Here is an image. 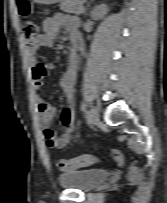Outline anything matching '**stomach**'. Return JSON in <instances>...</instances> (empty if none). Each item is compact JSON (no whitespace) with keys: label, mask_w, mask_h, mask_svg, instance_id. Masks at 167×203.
Returning <instances> with one entry per match:
<instances>
[{"label":"stomach","mask_w":167,"mask_h":203,"mask_svg":"<svg viewBox=\"0 0 167 203\" xmlns=\"http://www.w3.org/2000/svg\"><path fill=\"white\" fill-rule=\"evenodd\" d=\"M35 3H41V4H55L57 2H60L61 0H32Z\"/></svg>","instance_id":"0dacf381"}]
</instances>
